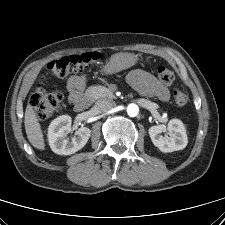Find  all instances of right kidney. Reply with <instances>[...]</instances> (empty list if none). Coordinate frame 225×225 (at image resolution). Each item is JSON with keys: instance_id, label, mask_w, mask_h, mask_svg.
I'll return each instance as SVG.
<instances>
[{"instance_id": "right-kidney-1", "label": "right kidney", "mask_w": 225, "mask_h": 225, "mask_svg": "<svg viewBox=\"0 0 225 225\" xmlns=\"http://www.w3.org/2000/svg\"><path fill=\"white\" fill-rule=\"evenodd\" d=\"M71 117L62 115L54 119L48 128V141L52 151L59 155H71L82 149L89 137L91 131L87 127L79 128L71 141L67 138L71 132Z\"/></svg>"}]
</instances>
